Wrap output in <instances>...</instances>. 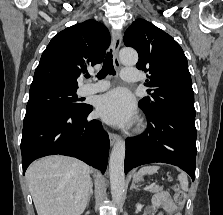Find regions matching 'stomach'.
<instances>
[{
  "label": "stomach",
  "mask_w": 223,
  "mask_h": 215,
  "mask_svg": "<svg viewBox=\"0 0 223 215\" xmlns=\"http://www.w3.org/2000/svg\"><path fill=\"white\" fill-rule=\"evenodd\" d=\"M143 175L141 173H134L133 175V181H142Z\"/></svg>",
  "instance_id": "1"
}]
</instances>
